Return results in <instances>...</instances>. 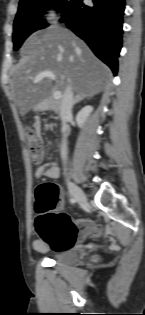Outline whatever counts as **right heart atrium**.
I'll list each match as a JSON object with an SVG mask.
<instances>
[{
    "mask_svg": "<svg viewBox=\"0 0 145 315\" xmlns=\"http://www.w3.org/2000/svg\"><path fill=\"white\" fill-rule=\"evenodd\" d=\"M60 18V9L55 3H48L41 10L40 20L45 25H55Z\"/></svg>",
    "mask_w": 145,
    "mask_h": 315,
    "instance_id": "1",
    "label": "right heart atrium"
}]
</instances>
